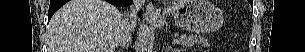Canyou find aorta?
<instances>
[{
    "label": "aorta",
    "mask_w": 305,
    "mask_h": 52,
    "mask_svg": "<svg viewBox=\"0 0 305 52\" xmlns=\"http://www.w3.org/2000/svg\"><path fill=\"white\" fill-rule=\"evenodd\" d=\"M148 48L146 45H141L140 46V52H147Z\"/></svg>",
    "instance_id": "obj_1"
}]
</instances>
